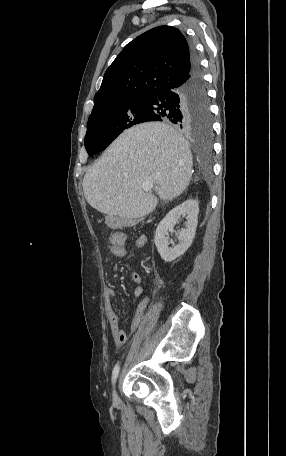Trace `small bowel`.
<instances>
[{
	"instance_id": "1",
	"label": "small bowel",
	"mask_w": 286,
	"mask_h": 456,
	"mask_svg": "<svg viewBox=\"0 0 286 456\" xmlns=\"http://www.w3.org/2000/svg\"><path fill=\"white\" fill-rule=\"evenodd\" d=\"M127 240V235L122 231L115 232L108 244V252L116 258H124L126 256L125 243ZM147 245V237L145 235H140L135 241V247L137 249H143ZM132 291L136 297L143 296L144 288L142 285V278L139 273H133L131 275ZM115 296V292L111 288L106 289V302H105V316L107 324L112 333L114 341L117 346H122L128 340L129 333L125 330L120 329L119 327V318L113 308L111 299ZM150 298L148 296H143L139 302L136 313L131 321L130 330L133 331L142 321L145 312L148 308Z\"/></svg>"
}]
</instances>
